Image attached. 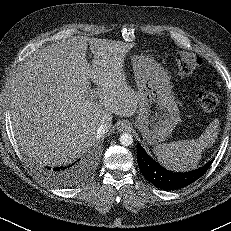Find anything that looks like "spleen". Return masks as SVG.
I'll use <instances>...</instances> for the list:
<instances>
[{
  "label": "spleen",
  "instance_id": "obj_1",
  "mask_svg": "<svg viewBox=\"0 0 231 231\" xmlns=\"http://www.w3.org/2000/svg\"><path fill=\"white\" fill-rule=\"evenodd\" d=\"M220 122L214 119L197 139L179 140L159 144L153 148L160 164L171 171L186 172L197 168L202 151L210 147L218 137Z\"/></svg>",
  "mask_w": 231,
  "mask_h": 231
}]
</instances>
